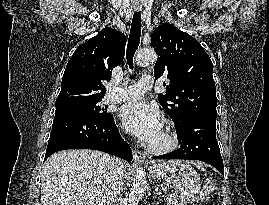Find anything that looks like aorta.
<instances>
[{"mask_svg":"<svg viewBox=\"0 0 269 205\" xmlns=\"http://www.w3.org/2000/svg\"><path fill=\"white\" fill-rule=\"evenodd\" d=\"M157 60V54L153 49H142L136 56V62L140 65L153 64ZM147 187L146 173L137 168L130 191L127 193L121 205H138L144 196Z\"/></svg>","mask_w":269,"mask_h":205,"instance_id":"aorta-1","label":"aorta"}]
</instances>
